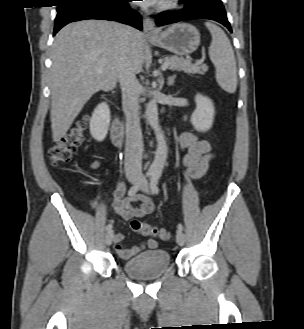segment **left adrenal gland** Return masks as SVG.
Masks as SVG:
<instances>
[{
    "label": "left adrenal gland",
    "mask_w": 304,
    "mask_h": 329,
    "mask_svg": "<svg viewBox=\"0 0 304 329\" xmlns=\"http://www.w3.org/2000/svg\"><path fill=\"white\" fill-rule=\"evenodd\" d=\"M175 77H176V75H173V76H170V77L168 78V82H167V84H168L169 86H171V85L174 84Z\"/></svg>",
    "instance_id": "1"
}]
</instances>
